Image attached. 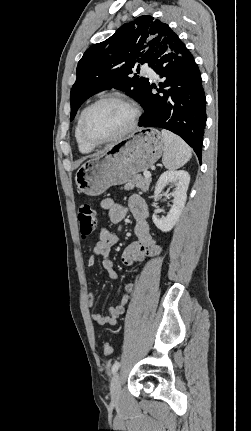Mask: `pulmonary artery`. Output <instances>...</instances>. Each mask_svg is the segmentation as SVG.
<instances>
[{
	"instance_id": "e3ab8cb5",
	"label": "pulmonary artery",
	"mask_w": 251,
	"mask_h": 431,
	"mask_svg": "<svg viewBox=\"0 0 251 431\" xmlns=\"http://www.w3.org/2000/svg\"><path fill=\"white\" fill-rule=\"evenodd\" d=\"M141 72H142L144 75H146V76H148V77H150V78H152V79H154V78L156 77V73L154 72V70H153V69H151L150 67H148L147 65H144V66L141 68Z\"/></svg>"
}]
</instances>
